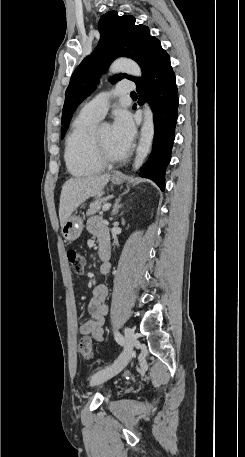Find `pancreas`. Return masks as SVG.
I'll return each mask as SVG.
<instances>
[{
  "mask_svg": "<svg viewBox=\"0 0 245 457\" xmlns=\"http://www.w3.org/2000/svg\"><path fill=\"white\" fill-rule=\"evenodd\" d=\"M103 202H106V198H101V196H99V198H95L93 202H90V208H88L86 212L87 216H89V214H96V212H100Z\"/></svg>",
  "mask_w": 245,
  "mask_h": 457,
  "instance_id": "cf45deb5",
  "label": "pancreas"
}]
</instances>
